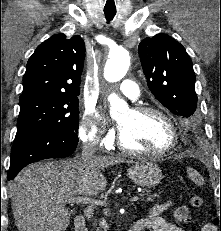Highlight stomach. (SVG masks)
Here are the masks:
<instances>
[{
    "label": "stomach",
    "mask_w": 221,
    "mask_h": 231,
    "mask_svg": "<svg viewBox=\"0 0 221 231\" xmlns=\"http://www.w3.org/2000/svg\"><path fill=\"white\" fill-rule=\"evenodd\" d=\"M127 175L135 184L145 188L157 186L163 178L159 166L148 160L135 162L127 170Z\"/></svg>",
    "instance_id": "obj_1"
}]
</instances>
